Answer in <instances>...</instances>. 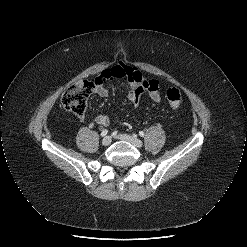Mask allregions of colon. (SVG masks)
I'll list each match as a JSON object with an SVG mask.
<instances>
[{"instance_id":"colon-1","label":"colon","mask_w":247,"mask_h":247,"mask_svg":"<svg viewBox=\"0 0 247 247\" xmlns=\"http://www.w3.org/2000/svg\"><path fill=\"white\" fill-rule=\"evenodd\" d=\"M96 88V82L81 81L69 87L61 96L62 106L75 115H81L87 106V100ZM166 99L171 110L176 111L182 103V96L178 89L170 88L166 91Z\"/></svg>"}]
</instances>
